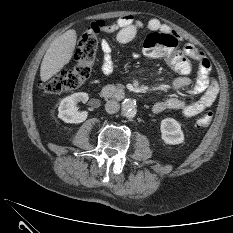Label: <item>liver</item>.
<instances>
[{
    "label": "liver",
    "instance_id": "liver-1",
    "mask_svg": "<svg viewBox=\"0 0 233 233\" xmlns=\"http://www.w3.org/2000/svg\"><path fill=\"white\" fill-rule=\"evenodd\" d=\"M76 39V31L70 29L51 43L41 63V81L46 82L70 62L75 49Z\"/></svg>",
    "mask_w": 233,
    "mask_h": 233
}]
</instances>
